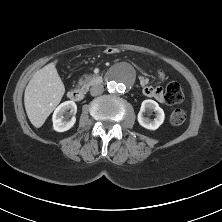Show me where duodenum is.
<instances>
[{
    "instance_id": "duodenum-1",
    "label": "duodenum",
    "mask_w": 222,
    "mask_h": 222,
    "mask_svg": "<svg viewBox=\"0 0 222 222\" xmlns=\"http://www.w3.org/2000/svg\"><path fill=\"white\" fill-rule=\"evenodd\" d=\"M103 81V77L101 75L94 76L91 80L92 85H99ZM85 97V91L81 88H72L68 91V98L72 101L78 102L83 100Z\"/></svg>"
}]
</instances>
